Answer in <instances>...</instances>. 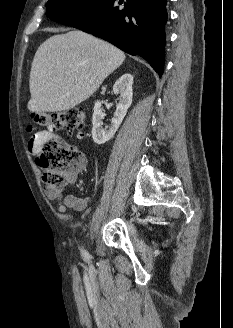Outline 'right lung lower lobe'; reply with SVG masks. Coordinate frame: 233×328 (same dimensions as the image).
<instances>
[{
	"label": "right lung lower lobe",
	"mask_w": 233,
	"mask_h": 328,
	"mask_svg": "<svg viewBox=\"0 0 233 328\" xmlns=\"http://www.w3.org/2000/svg\"><path fill=\"white\" fill-rule=\"evenodd\" d=\"M167 0H99L58 22L100 37L143 57L162 76Z\"/></svg>",
	"instance_id": "obj_1"
}]
</instances>
